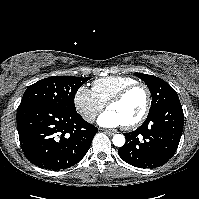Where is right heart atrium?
<instances>
[{
    "mask_svg": "<svg viewBox=\"0 0 199 199\" xmlns=\"http://www.w3.org/2000/svg\"><path fill=\"white\" fill-rule=\"evenodd\" d=\"M74 105L83 119L90 123L104 109V104L86 86L77 89L74 95Z\"/></svg>",
    "mask_w": 199,
    "mask_h": 199,
    "instance_id": "1",
    "label": "right heart atrium"
}]
</instances>
